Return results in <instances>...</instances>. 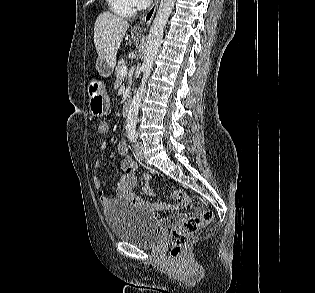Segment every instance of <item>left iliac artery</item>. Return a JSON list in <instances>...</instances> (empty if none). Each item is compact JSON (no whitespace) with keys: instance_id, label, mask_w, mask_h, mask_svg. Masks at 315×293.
Here are the masks:
<instances>
[{"instance_id":"44dca946","label":"left iliac artery","mask_w":315,"mask_h":293,"mask_svg":"<svg viewBox=\"0 0 315 293\" xmlns=\"http://www.w3.org/2000/svg\"><path fill=\"white\" fill-rule=\"evenodd\" d=\"M137 133L135 131H131L128 133V139L131 141V142H136L137 141Z\"/></svg>"}]
</instances>
